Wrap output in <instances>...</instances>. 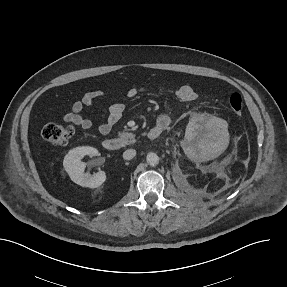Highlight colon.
<instances>
[{
	"instance_id": "1",
	"label": "colon",
	"mask_w": 287,
	"mask_h": 287,
	"mask_svg": "<svg viewBox=\"0 0 287 287\" xmlns=\"http://www.w3.org/2000/svg\"><path fill=\"white\" fill-rule=\"evenodd\" d=\"M229 107L233 114L241 116L243 113V100L240 94L234 93L229 98ZM74 130L71 126L60 124H47L41 131V136L47 142L56 145H66L73 136Z\"/></svg>"
}]
</instances>
